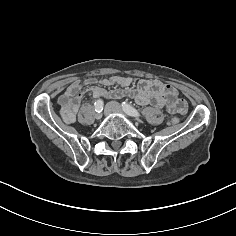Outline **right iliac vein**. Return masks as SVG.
Masks as SVG:
<instances>
[{"mask_svg":"<svg viewBox=\"0 0 236 236\" xmlns=\"http://www.w3.org/2000/svg\"><path fill=\"white\" fill-rule=\"evenodd\" d=\"M113 110L111 103H107L104 107V115L109 116Z\"/></svg>","mask_w":236,"mask_h":236,"instance_id":"right-iliac-vein-1","label":"right iliac vein"}]
</instances>
